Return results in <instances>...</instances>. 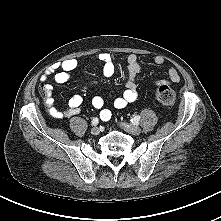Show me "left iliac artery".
Segmentation results:
<instances>
[{
    "label": "left iliac artery",
    "mask_w": 221,
    "mask_h": 221,
    "mask_svg": "<svg viewBox=\"0 0 221 221\" xmlns=\"http://www.w3.org/2000/svg\"><path fill=\"white\" fill-rule=\"evenodd\" d=\"M139 120H140V116L137 115L135 117H133L130 121L134 124V125H137L139 123Z\"/></svg>",
    "instance_id": "left-iliac-artery-1"
}]
</instances>
